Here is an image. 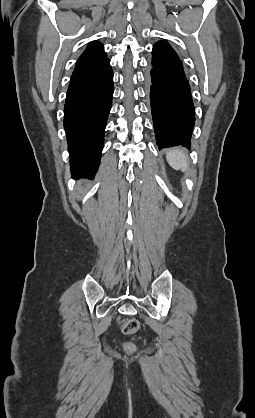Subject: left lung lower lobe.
<instances>
[{"mask_svg":"<svg viewBox=\"0 0 255 418\" xmlns=\"http://www.w3.org/2000/svg\"><path fill=\"white\" fill-rule=\"evenodd\" d=\"M149 80L159 148L189 146L195 121L191 87L181 59L167 41L153 47Z\"/></svg>","mask_w":255,"mask_h":418,"instance_id":"left-lung-lower-lobe-1","label":"left lung lower lobe"}]
</instances>
